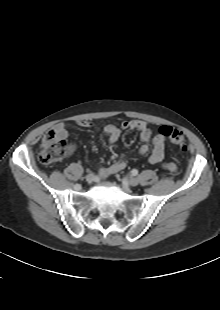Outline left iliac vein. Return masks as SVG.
<instances>
[{
  "label": "left iliac vein",
  "mask_w": 220,
  "mask_h": 310,
  "mask_svg": "<svg viewBox=\"0 0 220 310\" xmlns=\"http://www.w3.org/2000/svg\"><path fill=\"white\" fill-rule=\"evenodd\" d=\"M128 182H129V184H130L131 186H137L138 183H139L138 179L135 178V177H130L129 180H128Z\"/></svg>",
  "instance_id": "left-iliac-vein-1"
}]
</instances>
